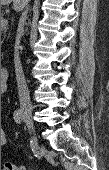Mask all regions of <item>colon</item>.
I'll return each mask as SVG.
<instances>
[{
  "mask_svg": "<svg viewBox=\"0 0 109 170\" xmlns=\"http://www.w3.org/2000/svg\"><path fill=\"white\" fill-rule=\"evenodd\" d=\"M3 170H27V168L24 167V166H18V165H15V164L6 163L4 165Z\"/></svg>",
  "mask_w": 109,
  "mask_h": 170,
  "instance_id": "obj_1",
  "label": "colon"
}]
</instances>
